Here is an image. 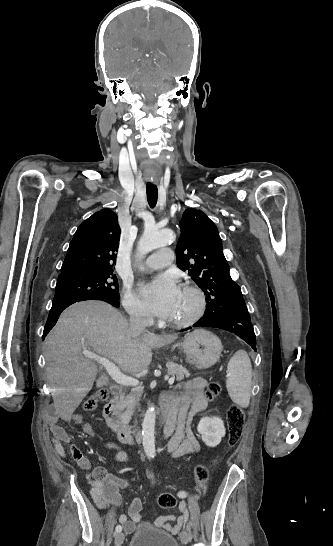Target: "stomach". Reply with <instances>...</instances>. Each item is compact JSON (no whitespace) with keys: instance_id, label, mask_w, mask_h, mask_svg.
<instances>
[{"instance_id":"obj_1","label":"stomach","mask_w":333,"mask_h":546,"mask_svg":"<svg viewBox=\"0 0 333 546\" xmlns=\"http://www.w3.org/2000/svg\"><path fill=\"white\" fill-rule=\"evenodd\" d=\"M184 351L190 363L199 369L213 366L221 355L222 343L213 333L197 329L187 334L183 341L173 345V348Z\"/></svg>"}]
</instances>
